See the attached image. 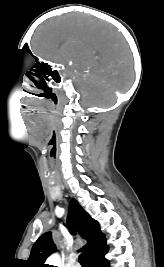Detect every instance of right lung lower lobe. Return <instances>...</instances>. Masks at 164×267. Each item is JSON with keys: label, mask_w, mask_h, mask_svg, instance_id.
<instances>
[{"label": "right lung lower lobe", "mask_w": 164, "mask_h": 267, "mask_svg": "<svg viewBox=\"0 0 164 267\" xmlns=\"http://www.w3.org/2000/svg\"><path fill=\"white\" fill-rule=\"evenodd\" d=\"M107 251L108 249L88 259L89 267H109V262L104 257Z\"/></svg>", "instance_id": "obj_1"}]
</instances>
